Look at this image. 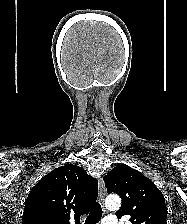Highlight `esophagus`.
<instances>
[{"label":"esophagus","instance_id":"esophagus-1","mask_svg":"<svg viewBox=\"0 0 187 224\" xmlns=\"http://www.w3.org/2000/svg\"><path fill=\"white\" fill-rule=\"evenodd\" d=\"M105 196H106V190L103 178L99 179V189H98V200L102 207H104L105 202Z\"/></svg>","mask_w":187,"mask_h":224}]
</instances>
